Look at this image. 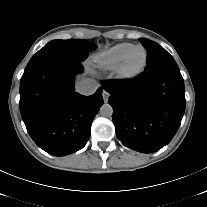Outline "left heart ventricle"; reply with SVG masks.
<instances>
[{
	"instance_id": "obj_1",
	"label": "left heart ventricle",
	"mask_w": 207,
	"mask_h": 207,
	"mask_svg": "<svg viewBox=\"0 0 207 207\" xmlns=\"http://www.w3.org/2000/svg\"><path fill=\"white\" fill-rule=\"evenodd\" d=\"M144 60V53L141 49H135L127 62V69L128 70H135L141 66Z\"/></svg>"
}]
</instances>
